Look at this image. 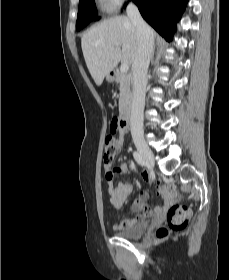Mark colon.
<instances>
[{
    "instance_id": "1",
    "label": "colon",
    "mask_w": 229,
    "mask_h": 280,
    "mask_svg": "<svg viewBox=\"0 0 229 280\" xmlns=\"http://www.w3.org/2000/svg\"><path fill=\"white\" fill-rule=\"evenodd\" d=\"M118 121L113 120L111 123V132L107 135L104 147V162L110 165L121 149V143L114 136V129L117 127ZM105 178L107 181L113 180V173L107 171ZM190 211L186 206L174 205L168 209L166 217V227H161L156 230L155 237L163 239L168 235L169 230H180L188 225Z\"/></svg>"
}]
</instances>
